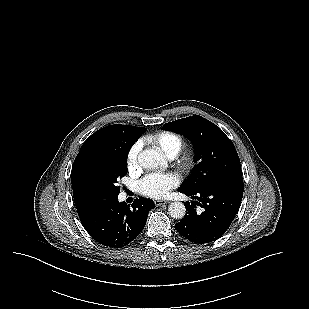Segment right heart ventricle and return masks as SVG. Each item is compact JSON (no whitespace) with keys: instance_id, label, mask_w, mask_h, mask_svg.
<instances>
[{"instance_id":"1","label":"right heart ventricle","mask_w":309,"mask_h":309,"mask_svg":"<svg viewBox=\"0 0 309 309\" xmlns=\"http://www.w3.org/2000/svg\"><path fill=\"white\" fill-rule=\"evenodd\" d=\"M147 140L161 149L167 156H176L183 147V137L172 131H161L147 137Z\"/></svg>"}]
</instances>
